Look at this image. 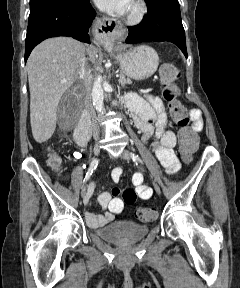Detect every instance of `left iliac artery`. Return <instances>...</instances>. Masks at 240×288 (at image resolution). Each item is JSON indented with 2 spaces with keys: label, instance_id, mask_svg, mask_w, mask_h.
I'll list each match as a JSON object with an SVG mask.
<instances>
[{
  "label": "left iliac artery",
  "instance_id": "44dca946",
  "mask_svg": "<svg viewBox=\"0 0 240 288\" xmlns=\"http://www.w3.org/2000/svg\"><path fill=\"white\" fill-rule=\"evenodd\" d=\"M131 157H132L133 161H137L139 163H143L141 158L138 155H136L134 153H131Z\"/></svg>",
  "mask_w": 240,
  "mask_h": 288
}]
</instances>
